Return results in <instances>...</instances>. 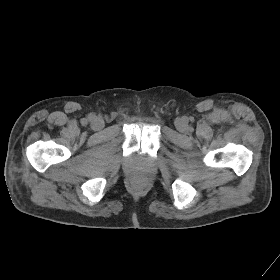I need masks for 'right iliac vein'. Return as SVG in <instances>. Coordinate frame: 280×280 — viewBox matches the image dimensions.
<instances>
[{"label":"right iliac vein","instance_id":"1","mask_svg":"<svg viewBox=\"0 0 280 280\" xmlns=\"http://www.w3.org/2000/svg\"><path fill=\"white\" fill-rule=\"evenodd\" d=\"M105 123L104 120L100 117H96L93 119V121L91 122V127L94 130H100L104 127Z\"/></svg>","mask_w":280,"mask_h":280}]
</instances>
